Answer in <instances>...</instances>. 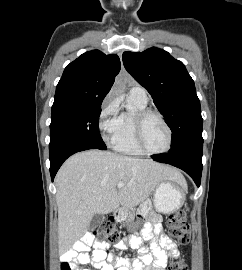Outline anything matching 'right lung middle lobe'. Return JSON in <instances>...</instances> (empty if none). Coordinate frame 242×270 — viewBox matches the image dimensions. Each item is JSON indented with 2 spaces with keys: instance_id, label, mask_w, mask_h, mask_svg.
<instances>
[{
  "instance_id": "dd1d6c3e",
  "label": "right lung middle lobe",
  "mask_w": 242,
  "mask_h": 270,
  "mask_svg": "<svg viewBox=\"0 0 242 270\" xmlns=\"http://www.w3.org/2000/svg\"><path fill=\"white\" fill-rule=\"evenodd\" d=\"M100 113L101 104L52 106L49 153L79 144L106 149L98 128Z\"/></svg>"
}]
</instances>
